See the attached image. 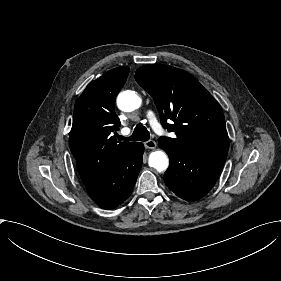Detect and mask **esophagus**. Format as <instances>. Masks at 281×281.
<instances>
[{
	"label": "esophagus",
	"mask_w": 281,
	"mask_h": 281,
	"mask_svg": "<svg viewBox=\"0 0 281 281\" xmlns=\"http://www.w3.org/2000/svg\"><path fill=\"white\" fill-rule=\"evenodd\" d=\"M144 146L148 149H155L157 145L154 140H148L144 143Z\"/></svg>",
	"instance_id": "34e87169"
}]
</instances>
